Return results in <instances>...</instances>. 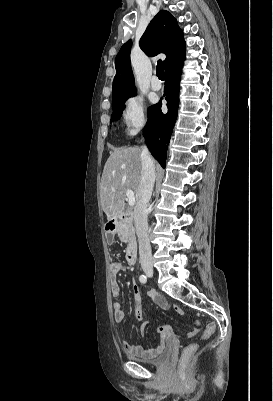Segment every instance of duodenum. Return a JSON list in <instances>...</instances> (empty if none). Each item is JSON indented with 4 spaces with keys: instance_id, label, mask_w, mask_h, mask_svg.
<instances>
[{
    "instance_id": "410a0bca",
    "label": "duodenum",
    "mask_w": 273,
    "mask_h": 401,
    "mask_svg": "<svg viewBox=\"0 0 273 401\" xmlns=\"http://www.w3.org/2000/svg\"><path fill=\"white\" fill-rule=\"evenodd\" d=\"M133 219V216L129 212L121 213L117 215L114 219H112L106 226V230L108 233H114L120 224L122 223H129ZM138 255V248L137 243L134 240L129 241L127 252H126V259L129 264H135Z\"/></svg>"
}]
</instances>
